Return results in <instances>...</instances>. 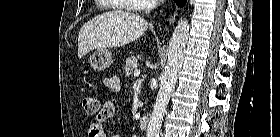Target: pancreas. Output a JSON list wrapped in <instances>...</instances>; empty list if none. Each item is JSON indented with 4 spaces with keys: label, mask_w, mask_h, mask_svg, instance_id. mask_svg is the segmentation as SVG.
<instances>
[{
    "label": "pancreas",
    "mask_w": 280,
    "mask_h": 137,
    "mask_svg": "<svg viewBox=\"0 0 280 137\" xmlns=\"http://www.w3.org/2000/svg\"><path fill=\"white\" fill-rule=\"evenodd\" d=\"M139 64L134 56L127 58L123 64L122 70L125 72L126 77L132 75L133 70L138 68Z\"/></svg>",
    "instance_id": "pancreas-1"
}]
</instances>
